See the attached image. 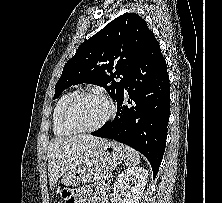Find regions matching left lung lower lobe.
<instances>
[{"instance_id":"0a47b994","label":"left lung lower lobe","mask_w":222,"mask_h":203,"mask_svg":"<svg viewBox=\"0 0 222 203\" xmlns=\"http://www.w3.org/2000/svg\"><path fill=\"white\" fill-rule=\"evenodd\" d=\"M129 95L124 105V92ZM117 101V113L91 134L124 143L150 162L155 177L165 151L170 114V85L166 62L151 31L142 57L129 76Z\"/></svg>"}]
</instances>
